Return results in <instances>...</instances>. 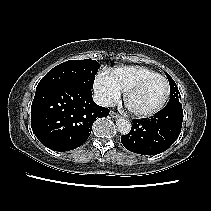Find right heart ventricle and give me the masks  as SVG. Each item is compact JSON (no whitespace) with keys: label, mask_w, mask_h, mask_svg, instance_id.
<instances>
[{"label":"right heart ventricle","mask_w":211,"mask_h":211,"mask_svg":"<svg viewBox=\"0 0 211 211\" xmlns=\"http://www.w3.org/2000/svg\"><path fill=\"white\" fill-rule=\"evenodd\" d=\"M110 74L121 92H125L143 78L158 75L153 69L143 66H122L111 70Z\"/></svg>","instance_id":"right-heart-ventricle-1"}]
</instances>
